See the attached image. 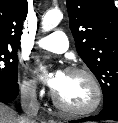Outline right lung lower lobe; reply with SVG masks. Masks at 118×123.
I'll return each mask as SVG.
<instances>
[{
    "label": "right lung lower lobe",
    "mask_w": 118,
    "mask_h": 123,
    "mask_svg": "<svg viewBox=\"0 0 118 123\" xmlns=\"http://www.w3.org/2000/svg\"><path fill=\"white\" fill-rule=\"evenodd\" d=\"M19 93V86L15 84H0V102H12Z\"/></svg>",
    "instance_id": "obj_1"
}]
</instances>
